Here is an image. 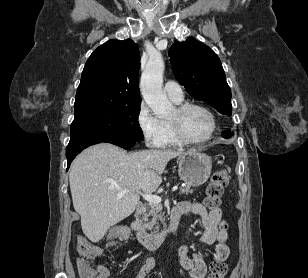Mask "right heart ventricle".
<instances>
[{
  "mask_svg": "<svg viewBox=\"0 0 308 278\" xmlns=\"http://www.w3.org/2000/svg\"><path fill=\"white\" fill-rule=\"evenodd\" d=\"M173 101V100H172ZM176 104H180L182 101H173ZM166 130V139L164 146H181L184 143L181 142L173 133L168 121H163Z\"/></svg>",
  "mask_w": 308,
  "mask_h": 278,
  "instance_id": "1",
  "label": "right heart ventricle"
}]
</instances>
